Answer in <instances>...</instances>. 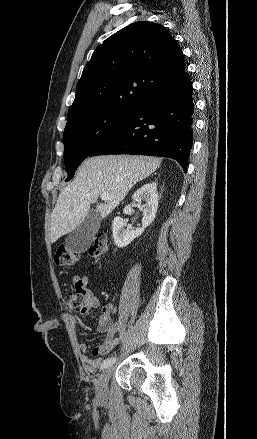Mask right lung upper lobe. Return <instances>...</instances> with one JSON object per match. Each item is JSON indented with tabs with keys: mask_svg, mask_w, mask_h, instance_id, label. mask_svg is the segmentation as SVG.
<instances>
[{
	"mask_svg": "<svg viewBox=\"0 0 257 439\" xmlns=\"http://www.w3.org/2000/svg\"><path fill=\"white\" fill-rule=\"evenodd\" d=\"M184 72L183 53L165 27L143 21L130 24L94 51L67 119L96 109H136Z\"/></svg>",
	"mask_w": 257,
	"mask_h": 439,
	"instance_id": "right-lung-upper-lobe-1",
	"label": "right lung upper lobe"
}]
</instances>
